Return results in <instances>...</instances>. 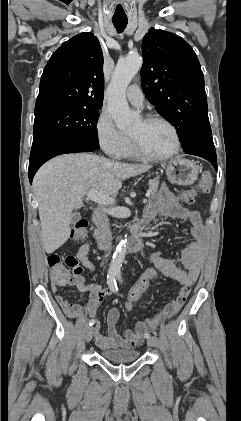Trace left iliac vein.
I'll list each match as a JSON object with an SVG mask.
<instances>
[{
	"label": "left iliac vein",
	"mask_w": 241,
	"mask_h": 421,
	"mask_svg": "<svg viewBox=\"0 0 241 421\" xmlns=\"http://www.w3.org/2000/svg\"><path fill=\"white\" fill-rule=\"evenodd\" d=\"M147 344H148L149 346H152V347H157V346H158V339H157V337H155V336L150 337V338L147 340Z\"/></svg>",
	"instance_id": "4c4485c4"
}]
</instances>
